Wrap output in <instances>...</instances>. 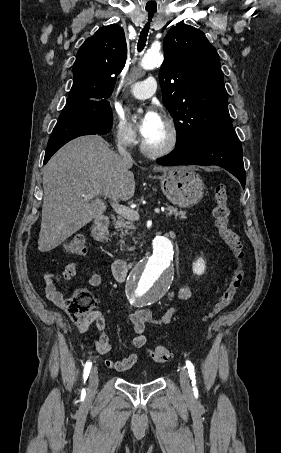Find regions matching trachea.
I'll return each mask as SVG.
<instances>
[{"instance_id":"3493384b","label":"trachea","mask_w":281,"mask_h":453,"mask_svg":"<svg viewBox=\"0 0 281 453\" xmlns=\"http://www.w3.org/2000/svg\"><path fill=\"white\" fill-rule=\"evenodd\" d=\"M153 15H154L153 12L149 13V22L151 21ZM149 22H148V24L145 25L144 29L142 30V32L139 36L138 51H142V49L145 46V42L147 40V34H148V30H149Z\"/></svg>"}]
</instances>
